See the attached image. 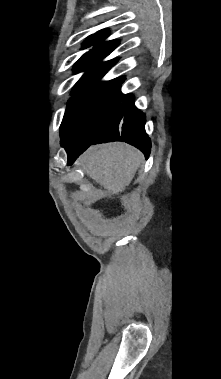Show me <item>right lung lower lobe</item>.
<instances>
[{"label": "right lung lower lobe", "instance_id": "obj_1", "mask_svg": "<svg viewBox=\"0 0 221 379\" xmlns=\"http://www.w3.org/2000/svg\"><path fill=\"white\" fill-rule=\"evenodd\" d=\"M145 121L144 114L134 106V97L123 95L114 115L93 140L79 143H65L61 140L68 154V164H72L91 144L110 141H125L139 148L148 158L151 142L144 129Z\"/></svg>", "mask_w": 221, "mask_h": 379}]
</instances>
